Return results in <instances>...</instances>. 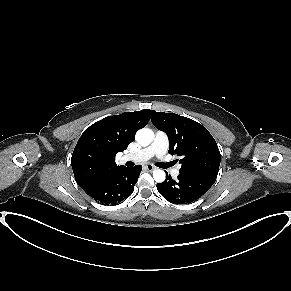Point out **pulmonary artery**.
<instances>
[{"instance_id":"1","label":"pulmonary artery","mask_w":291,"mask_h":291,"mask_svg":"<svg viewBox=\"0 0 291 291\" xmlns=\"http://www.w3.org/2000/svg\"><path fill=\"white\" fill-rule=\"evenodd\" d=\"M169 146V140L167 135L162 131H157L154 140L151 145L141 149L140 151L125 156V160H131L134 162H144L148 159L156 156L159 159H163ZM173 177H177L180 174V165L175 166L171 170Z\"/></svg>"}]
</instances>
